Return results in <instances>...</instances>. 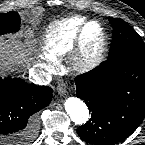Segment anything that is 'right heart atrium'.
<instances>
[{
  "instance_id": "1",
  "label": "right heart atrium",
  "mask_w": 145,
  "mask_h": 145,
  "mask_svg": "<svg viewBox=\"0 0 145 145\" xmlns=\"http://www.w3.org/2000/svg\"><path fill=\"white\" fill-rule=\"evenodd\" d=\"M40 66L43 70H45L48 73H52L57 69V62L45 59L44 61L40 62Z\"/></svg>"
}]
</instances>
